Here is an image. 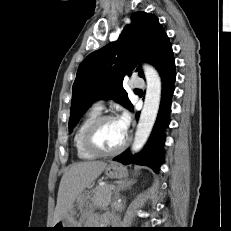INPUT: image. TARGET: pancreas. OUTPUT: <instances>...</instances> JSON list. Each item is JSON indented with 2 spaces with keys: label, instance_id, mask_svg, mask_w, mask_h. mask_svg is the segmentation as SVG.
Listing matches in <instances>:
<instances>
[{
  "label": "pancreas",
  "instance_id": "cf45deb5",
  "mask_svg": "<svg viewBox=\"0 0 231 231\" xmlns=\"http://www.w3.org/2000/svg\"><path fill=\"white\" fill-rule=\"evenodd\" d=\"M110 187L106 185L96 188L92 197L94 206L105 207L111 202L112 190ZM87 223H90V218L87 220Z\"/></svg>",
  "mask_w": 231,
  "mask_h": 231
}]
</instances>
